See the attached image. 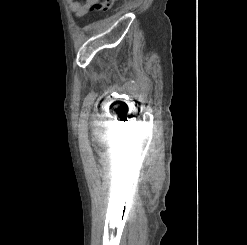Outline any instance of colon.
<instances>
[{
  "label": "colon",
  "instance_id": "colon-1",
  "mask_svg": "<svg viewBox=\"0 0 247 245\" xmlns=\"http://www.w3.org/2000/svg\"><path fill=\"white\" fill-rule=\"evenodd\" d=\"M115 0H95L91 9L95 11H106L110 9Z\"/></svg>",
  "mask_w": 247,
  "mask_h": 245
}]
</instances>
